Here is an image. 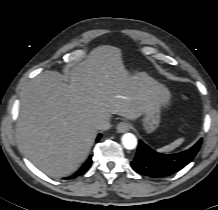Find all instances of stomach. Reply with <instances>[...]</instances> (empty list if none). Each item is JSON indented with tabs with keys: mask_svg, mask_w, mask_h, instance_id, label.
<instances>
[{
	"mask_svg": "<svg viewBox=\"0 0 218 210\" xmlns=\"http://www.w3.org/2000/svg\"><path fill=\"white\" fill-rule=\"evenodd\" d=\"M161 110V102L155 98L150 99L143 113V125L148 133L153 132L159 126L161 120Z\"/></svg>",
	"mask_w": 218,
	"mask_h": 210,
	"instance_id": "obj_1",
	"label": "stomach"
}]
</instances>
